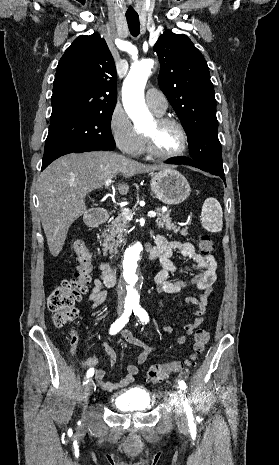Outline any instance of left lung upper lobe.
I'll return each mask as SVG.
<instances>
[{"mask_svg": "<svg viewBox=\"0 0 279 465\" xmlns=\"http://www.w3.org/2000/svg\"><path fill=\"white\" fill-rule=\"evenodd\" d=\"M159 86L183 124L190 160L224 175L216 100L207 62L184 34L165 31L154 46Z\"/></svg>", "mask_w": 279, "mask_h": 465, "instance_id": "left-lung-upper-lobe-1", "label": "left lung upper lobe"}]
</instances>
